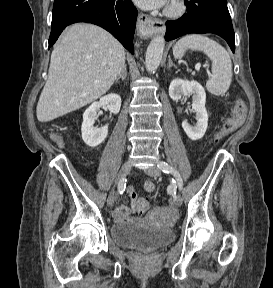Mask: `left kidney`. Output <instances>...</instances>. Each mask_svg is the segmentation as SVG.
<instances>
[{
    "instance_id": "1",
    "label": "left kidney",
    "mask_w": 273,
    "mask_h": 288,
    "mask_svg": "<svg viewBox=\"0 0 273 288\" xmlns=\"http://www.w3.org/2000/svg\"><path fill=\"white\" fill-rule=\"evenodd\" d=\"M192 95V108L196 113L197 123L191 126L187 121L182 122L186 135L193 141L201 139L208 127V114L205 108L206 93L204 88L197 81L174 79L169 86V96L172 100L178 101L182 95Z\"/></svg>"
}]
</instances>
